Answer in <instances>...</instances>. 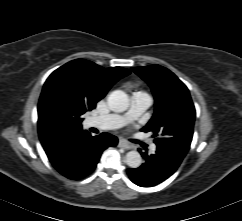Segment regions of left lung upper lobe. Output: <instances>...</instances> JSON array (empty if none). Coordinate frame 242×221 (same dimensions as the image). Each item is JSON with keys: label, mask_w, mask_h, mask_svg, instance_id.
<instances>
[{"label": "left lung upper lobe", "mask_w": 242, "mask_h": 221, "mask_svg": "<svg viewBox=\"0 0 242 221\" xmlns=\"http://www.w3.org/2000/svg\"><path fill=\"white\" fill-rule=\"evenodd\" d=\"M155 97V113L142 131L153 133L156 145L186 154L190 149L195 108L189 90L170 70L159 65L133 67Z\"/></svg>", "instance_id": "left-lung-upper-lobe-1"}]
</instances>
